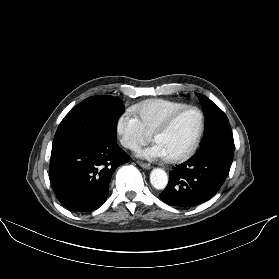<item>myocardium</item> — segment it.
Masks as SVG:
<instances>
[{
    "instance_id": "f54148a6",
    "label": "myocardium",
    "mask_w": 279,
    "mask_h": 279,
    "mask_svg": "<svg viewBox=\"0 0 279 279\" xmlns=\"http://www.w3.org/2000/svg\"><path fill=\"white\" fill-rule=\"evenodd\" d=\"M187 110H194L198 113L199 115V127L196 132V135L191 143V145L188 147L187 150H185L183 153L168 157V160L173 163L177 162H182L186 159H188L196 150V148L199 145V142L201 140L203 131H204V126H205V120H204V115L203 112L196 106L193 105H186L184 107H181L177 109L176 111L172 112L165 120L164 122L153 132L152 139L155 141L156 137L159 135H162L166 133L174 123L175 119L183 112Z\"/></svg>"
}]
</instances>
